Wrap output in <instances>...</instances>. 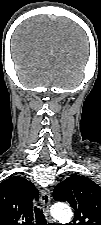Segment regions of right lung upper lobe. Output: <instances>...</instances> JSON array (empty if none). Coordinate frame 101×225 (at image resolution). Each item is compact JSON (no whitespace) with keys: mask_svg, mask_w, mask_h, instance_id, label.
<instances>
[{"mask_svg":"<svg viewBox=\"0 0 101 225\" xmlns=\"http://www.w3.org/2000/svg\"><path fill=\"white\" fill-rule=\"evenodd\" d=\"M38 191L25 178L10 177L0 184V225H33V200Z\"/></svg>","mask_w":101,"mask_h":225,"instance_id":"right-lung-upper-lobe-1","label":"right lung upper lobe"}]
</instances>
